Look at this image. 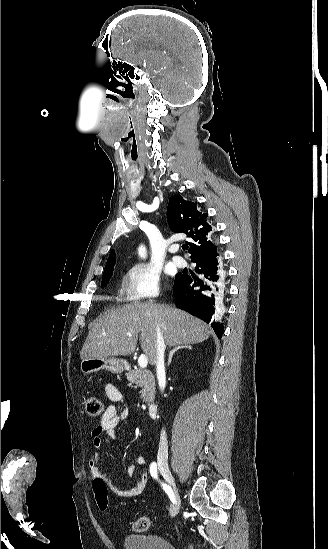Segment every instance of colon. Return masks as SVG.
Masks as SVG:
<instances>
[{"label": "colon", "mask_w": 328, "mask_h": 549, "mask_svg": "<svg viewBox=\"0 0 328 549\" xmlns=\"http://www.w3.org/2000/svg\"><path fill=\"white\" fill-rule=\"evenodd\" d=\"M86 412L90 416H98L103 412V403L94 396H89L85 400ZM93 491L98 508L105 511L108 508L109 497L108 487L104 479L97 478L93 481ZM150 526V520L146 516L139 517L133 524V529L137 532H144Z\"/></svg>", "instance_id": "colon-1"}]
</instances>
